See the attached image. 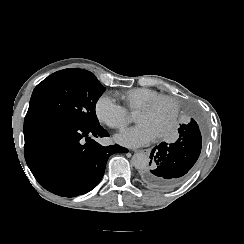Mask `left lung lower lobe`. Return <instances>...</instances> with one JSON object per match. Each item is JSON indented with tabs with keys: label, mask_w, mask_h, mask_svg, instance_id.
Returning a JSON list of instances; mask_svg holds the SVG:
<instances>
[{
	"label": "left lung lower lobe",
	"mask_w": 244,
	"mask_h": 244,
	"mask_svg": "<svg viewBox=\"0 0 244 244\" xmlns=\"http://www.w3.org/2000/svg\"><path fill=\"white\" fill-rule=\"evenodd\" d=\"M179 138L173 144L162 142L150 154V165L140 172L141 181L153 188L170 190L179 186L196 163L202 137L195 119L182 124L178 129Z\"/></svg>",
	"instance_id": "0a47b994"
}]
</instances>
